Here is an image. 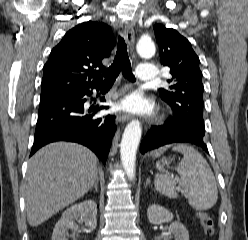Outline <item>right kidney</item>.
I'll return each instance as SVG.
<instances>
[{
    "instance_id": "obj_1",
    "label": "right kidney",
    "mask_w": 248,
    "mask_h": 240,
    "mask_svg": "<svg viewBox=\"0 0 248 240\" xmlns=\"http://www.w3.org/2000/svg\"><path fill=\"white\" fill-rule=\"evenodd\" d=\"M75 220L84 222L91 229L97 225V204L93 200H86L68 208L62 214L53 230L52 240H67L69 229L74 228Z\"/></svg>"
}]
</instances>
